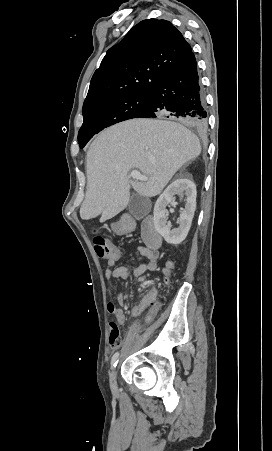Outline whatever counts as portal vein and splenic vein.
<instances>
[{
  "label": "portal vein and splenic vein",
  "instance_id": "18ae733b",
  "mask_svg": "<svg viewBox=\"0 0 272 451\" xmlns=\"http://www.w3.org/2000/svg\"><path fill=\"white\" fill-rule=\"evenodd\" d=\"M130 176L131 178H133V180H142V182H146V180H148V178H146V176H143V174H140L138 170H132Z\"/></svg>",
  "mask_w": 272,
  "mask_h": 451
}]
</instances>
